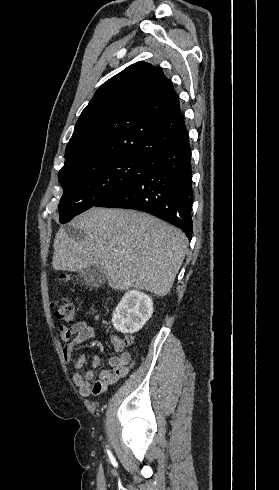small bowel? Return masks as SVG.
Masks as SVG:
<instances>
[{
    "label": "small bowel",
    "instance_id": "c3829d8e",
    "mask_svg": "<svg viewBox=\"0 0 279 490\" xmlns=\"http://www.w3.org/2000/svg\"><path fill=\"white\" fill-rule=\"evenodd\" d=\"M57 332L60 339L66 343L63 355L67 364H73L74 372L72 375L75 386L80 393L85 396H96L108 388V386L116 383L120 378L126 376L133 366L135 359L133 354L125 349L124 342L119 337L112 338V344L116 356L109 358L108 364L110 369L101 372L98 380H95L94 370H88L81 373L85 364L86 356L81 353L76 359L74 358L75 348L96 336V331L93 326L85 321H79L71 327L57 326ZM100 365V357L94 355L92 359V367L95 369Z\"/></svg>",
    "mask_w": 279,
    "mask_h": 490
}]
</instances>
